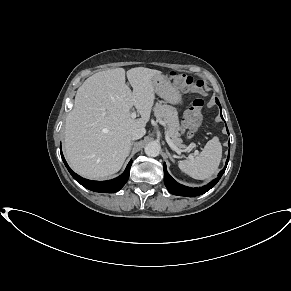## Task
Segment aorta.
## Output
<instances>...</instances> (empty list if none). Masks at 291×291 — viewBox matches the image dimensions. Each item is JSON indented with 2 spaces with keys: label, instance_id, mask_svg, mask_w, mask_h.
Returning a JSON list of instances; mask_svg holds the SVG:
<instances>
[{
  "label": "aorta",
  "instance_id": "1",
  "mask_svg": "<svg viewBox=\"0 0 291 291\" xmlns=\"http://www.w3.org/2000/svg\"><path fill=\"white\" fill-rule=\"evenodd\" d=\"M160 149H161L160 144L155 141L148 143L144 148L146 155L151 157L158 156Z\"/></svg>",
  "mask_w": 291,
  "mask_h": 291
}]
</instances>
